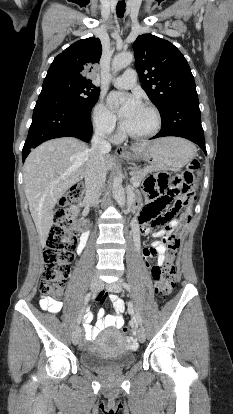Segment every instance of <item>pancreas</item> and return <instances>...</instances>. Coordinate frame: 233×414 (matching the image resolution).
<instances>
[{"mask_svg": "<svg viewBox=\"0 0 233 414\" xmlns=\"http://www.w3.org/2000/svg\"><path fill=\"white\" fill-rule=\"evenodd\" d=\"M153 169L150 167L144 168V169H134L131 171V176L133 178V182H136L138 186L140 185L141 181L144 179V177L149 173L152 172ZM134 186V187H138Z\"/></svg>", "mask_w": 233, "mask_h": 414, "instance_id": "1", "label": "pancreas"}]
</instances>
